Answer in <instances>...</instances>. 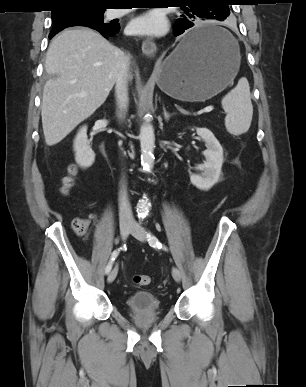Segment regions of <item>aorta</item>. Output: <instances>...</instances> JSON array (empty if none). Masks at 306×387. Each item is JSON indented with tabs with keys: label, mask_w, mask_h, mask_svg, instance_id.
Here are the masks:
<instances>
[{
	"label": "aorta",
	"mask_w": 306,
	"mask_h": 387,
	"mask_svg": "<svg viewBox=\"0 0 306 387\" xmlns=\"http://www.w3.org/2000/svg\"><path fill=\"white\" fill-rule=\"evenodd\" d=\"M140 147H141V163L143 169L146 172H151L154 166V147H155V136L154 129L150 123V119H145L144 123L140 128ZM138 207L141 213H146L149 210V200L144 197L138 203Z\"/></svg>",
	"instance_id": "aorta-1"
}]
</instances>
